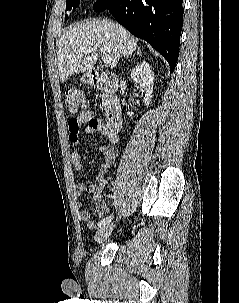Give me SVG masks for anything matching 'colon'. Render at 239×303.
Instances as JSON below:
<instances>
[{"mask_svg": "<svg viewBox=\"0 0 239 303\" xmlns=\"http://www.w3.org/2000/svg\"><path fill=\"white\" fill-rule=\"evenodd\" d=\"M65 96L66 108L70 114H75L88 108V99L80 89L68 88ZM73 128L76 129V125H73Z\"/></svg>", "mask_w": 239, "mask_h": 303, "instance_id": "obj_1", "label": "colon"}]
</instances>
